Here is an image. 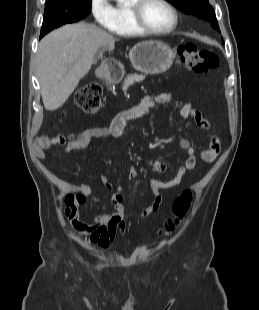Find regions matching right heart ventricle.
Returning <instances> with one entry per match:
<instances>
[{
  "label": "right heart ventricle",
  "mask_w": 259,
  "mask_h": 310,
  "mask_svg": "<svg viewBox=\"0 0 259 310\" xmlns=\"http://www.w3.org/2000/svg\"><path fill=\"white\" fill-rule=\"evenodd\" d=\"M134 0H126L125 3L116 4L113 7V22L109 29L121 36H135L140 32L135 28L131 21L129 7Z\"/></svg>",
  "instance_id": "e07e8e85"
}]
</instances>
